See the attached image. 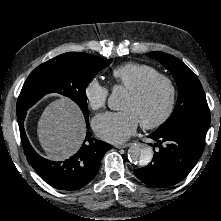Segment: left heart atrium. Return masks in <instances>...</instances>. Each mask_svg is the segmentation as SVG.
I'll list each match as a JSON object with an SVG mask.
<instances>
[{
  "label": "left heart atrium",
  "instance_id": "39dd6f15",
  "mask_svg": "<svg viewBox=\"0 0 221 221\" xmlns=\"http://www.w3.org/2000/svg\"><path fill=\"white\" fill-rule=\"evenodd\" d=\"M138 125V118L129 110L107 113L93 120V127L98 136L112 143L127 140L136 132Z\"/></svg>",
  "mask_w": 221,
  "mask_h": 221
}]
</instances>
